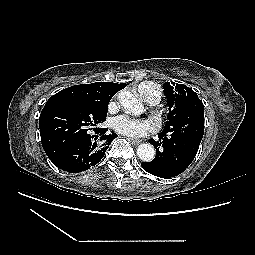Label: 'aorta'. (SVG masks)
I'll return each mask as SVG.
<instances>
[{
	"instance_id": "1",
	"label": "aorta",
	"mask_w": 255,
	"mask_h": 255,
	"mask_svg": "<svg viewBox=\"0 0 255 255\" xmlns=\"http://www.w3.org/2000/svg\"><path fill=\"white\" fill-rule=\"evenodd\" d=\"M120 105L127 111L135 112L141 107L140 101L130 92L121 91L118 94ZM138 157L144 162H150L155 158V149L149 143H142L137 148Z\"/></svg>"
}]
</instances>
